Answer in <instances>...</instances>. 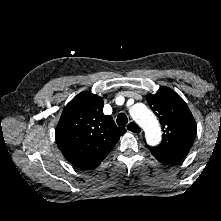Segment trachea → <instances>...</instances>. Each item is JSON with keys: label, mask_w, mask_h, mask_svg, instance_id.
Segmentation results:
<instances>
[{"label": "trachea", "mask_w": 221, "mask_h": 221, "mask_svg": "<svg viewBox=\"0 0 221 221\" xmlns=\"http://www.w3.org/2000/svg\"><path fill=\"white\" fill-rule=\"evenodd\" d=\"M128 123V118L124 113H120L117 117V125L124 126Z\"/></svg>", "instance_id": "3493384b"}]
</instances>
